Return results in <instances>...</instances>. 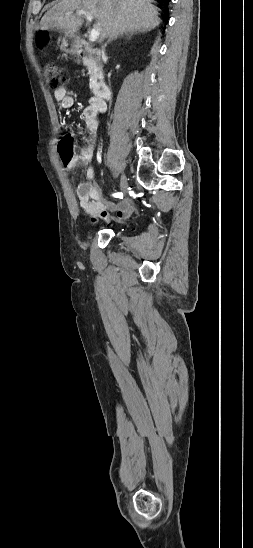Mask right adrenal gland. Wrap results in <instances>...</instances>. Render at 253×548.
<instances>
[{
    "label": "right adrenal gland",
    "mask_w": 253,
    "mask_h": 548,
    "mask_svg": "<svg viewBox=\"0 0 253 548\" xmlns=\"http://www.w3.org/2000/svg\"><path fill=\"white\" fill-rule=\"evenodd\" d=\"M133 34H134L133 32H125V33H121V34L118 35V36L112 37V38H110V39L107 41V43H105L104 47L106 48L107 45H108L110 42H112L113 40H116L118 37H121V38H122V37L131 38V36H132Z\"/></svg>",
    "instance_id": "1"
}]
</instances>
